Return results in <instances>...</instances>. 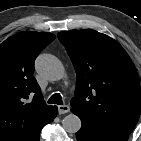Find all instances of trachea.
<instances>
[{"label":"trachea","mask_w":141,"mask_h":141,"mask_svg":"<svg viewBox=\"0 0 141 141\" xmlns=\"http://www.w3.org/2000/svg\"><path fill=\"white\" fill-rule=\"evenodd\" d=\"M48 103L63 105V101H62L61 95H60L59 93L53 94V95L49 98Z\"/></svg>","instance_id":"3493384b"}]
</instances>
